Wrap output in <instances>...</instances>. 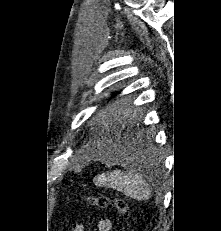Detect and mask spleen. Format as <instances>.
Returning a JSON list of instances; mask_svg holds the SVG:
<instances>
[{
	"instance_id": "1",
	"label": "spleen",
	"mask_w": 221,
	"mask_h": 231,
	"mask_svg": "<svg viewBox=\"0 0 221 231\" xmlns=\"http://www.w3.org/2000/svg\"><path fill=\"white\" fill-rule=\"evenodd\" d=\"M96 184L117 189L138 201L149 199L152 194V189L143 176L133 171L115 170L107 175L102 174L96 179Z\"/></svg>"
}]
</instances>
